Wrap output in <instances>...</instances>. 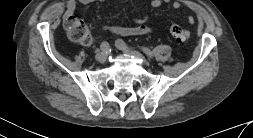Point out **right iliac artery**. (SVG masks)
Wrapping results in <instances>:
<instances>
[{
	"instance_id": "obj_1",
	"label": "right iliac artery",
	"mask_w": 253,
	"mask_h": 138,
	"mask_svg": "<svg viewBox=\"0 0 253 138\" xmlns=\"http://www.w3.org/2000/svg\"><path fill=\"white\" fill-rule=\"evenodd\" d=\"M100 48L102 51L107 52L110 48L108 42L104 41L101 43Z\"/></svg>"
}]
</instances>
